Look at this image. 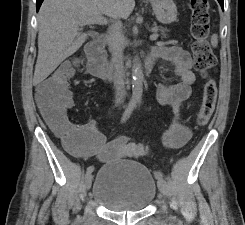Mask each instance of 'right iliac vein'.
I'll list each match as a JSON object with an SVG mask.
<instances>
[{"label":"right iliac vein","mask_w":245,"mask_h":225,"mask_svg":"<svg viewBox=\"0 0 245 225\" xmlns=\"http://www.w3.org/2000/svg\"><path fill=\"white\" fill-rule=\"evenodd\" d=\"M92 180H93V175L91 173H87L85 176V188L87 190L90 189V187L92 185Z\"/></svg>","instance_id":"63e3f726"}]
</instances>
